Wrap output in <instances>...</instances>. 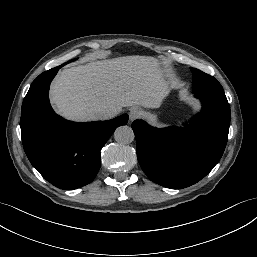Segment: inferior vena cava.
I'll return each mask as SVG.
<instances>
[{
	"label": "inferior vena cava",
	"mask_w": 257,
	"mask_h": 257,
	"mask_svg": "<svg viewBox=\"0 0 257 257\" xmlns=\"http://www.w3.org/2000/svg\"><path fill=\"white\" fill-rule=\"evenodd\" d=\"M119 111L116 109H99L95 112V120H108L115 117Z\"/></svg>",
	"instance_id": "inferior-vena-cava-1"
}]
</instances>
